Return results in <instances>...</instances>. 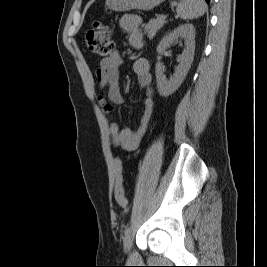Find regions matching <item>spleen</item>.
<instances>
[{
	"label": "spleen",
	"instance_id": "3e777b00",
	"mask_svg": "<svg viewBox=\"0 0 267 267\" xmlns=\"http://www.w3.org/2000/svg\"><path fill=\"white\" fill-rule=\"evenodd\" d=\"M206 11L204 0H181L176 8L177 15L183 20L202 16Z\"/></svg>",
	"mask_w": 267,
	"mask_h": 267
}]
</instances>
